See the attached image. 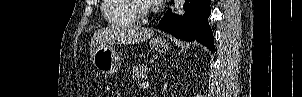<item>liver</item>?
Listing matches in <instances>:
<instances>
[{
    "label": "liver",
    "mask_w": 302,
    "mask_h": 97,
    "mask_svg": "<svg viewBox=\"0 0 302 97\" xmlns=\"http://www.w3.org/2000/svg\"><path fill=\"white\" fill-rule=\"evenodd\" d=\"M153 29L139 27L136 25H118L97 30L90 45V54L92 55L99 45L102 44H140L152 37Z\"/></svg>",
    "instance_id": "1"
}]
</instances>
